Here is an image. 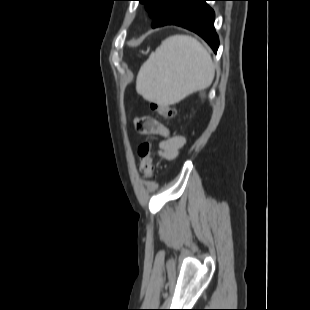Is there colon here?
Here are the masks:
<instances>
[{"instance_id":"colon-1","label":"colon","mask_w":310,"mask_h":310,"mask_svg":"<svg viewBox=\"0 0 310 310\" xmlns=\"http://www.w3.org/2000/svg\"><path fill=\"white\" fill-rule=\"evenodd\" d=\"M152 110L161 118L171 120L175 116V108L172 104L167 102H152ZM154 137L149 136L138 148L140 157V168L146 178H151L154 175Z\"/></svg>"}]
</instances>
